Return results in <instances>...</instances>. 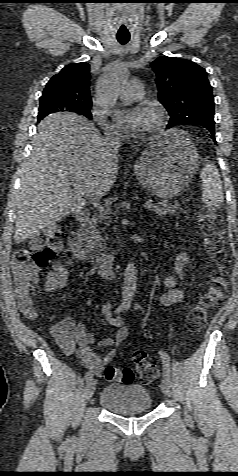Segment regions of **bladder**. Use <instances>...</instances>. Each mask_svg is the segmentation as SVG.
<instances>
[{
	"instance_id": "1",
	"label": "bladder",
	"mask_w": 238,
	"mask_h": 476,
	"mask_svg": "<svg viewBox=\"0 0 238 476\" xmlns=\"http://www.w3.org/2000/svg\"><path fill=\"white\" fill-rule=\"evenodd\" d=\"M99 404L113 414L129 416L149 411L153 401L143 385L109 384L102 389Z\"/></svg>"
}]
</instances>
